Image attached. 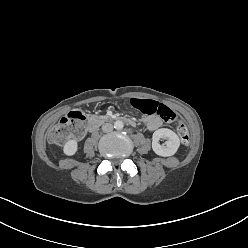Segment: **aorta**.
Returning <instances> with one entry per match:
<instances>
[{"mask_svg":"<svg viewBox=\"0 0 248 248\" xmlns=\"http://www.w3.org/2000/svg\"><path fill=\"white\" fill-rule=\"evenodd\" d=\"M124 127V123L121 120H117L114 122V128L117 130H121Z\"/></svg>","mask_w":248,"mask_h":248,"instance_id":"obj_1","label":"aorta"}]
</instances>
